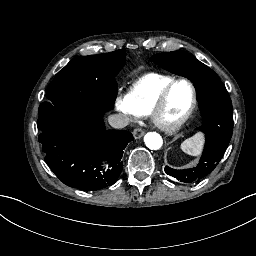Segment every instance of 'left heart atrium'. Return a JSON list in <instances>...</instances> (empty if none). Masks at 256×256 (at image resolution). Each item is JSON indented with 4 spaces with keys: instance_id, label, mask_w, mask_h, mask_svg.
<instances>
[{
    "instance_id": "1",
    "label": "left heart atrium",
    "mask_w": 256,
    "mask_h": 256,
    "mask_svg": "<svg viewBox=\"0 0 256 256\" xmlns=\"http://www.w3.org/2000/svg\"><path fill=\"white\" fill-rule=\"evenodd\" d=\"M152 120L154 122V124L160 128H163V125L160 121H158L155 117H152Z\"/></svg>"
}]
</instances>
